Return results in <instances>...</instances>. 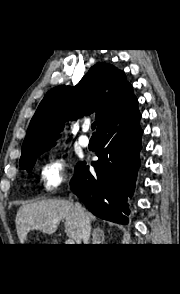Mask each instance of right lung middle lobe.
Instances as JSON below:
<instances>
[{
	"mask_svg": "<svg viewBox=\"0 0 180 294\" xmlns=\"http://www.w3.org/2000/svg\"><path fill=\"white\" fill-rule=\"evenodd\" d=\"M46 150H48V149L40 150V151L36 152L32 157H30V158H28V159H26V160H24V161H21V162H20V167H21L22 169H26L27 171H30V170L33 168L34 164H35L36 158H37L40 154H42L43 152H45ZM79 165H80V164H79ZM79 165L75 168L76 171H77Z\"/></svg>",
	"mask_w": 180,
	"mask_h": 294,
	"instance_id": "1",
	"label": "right lung middle lobe"
}]
</instances>
